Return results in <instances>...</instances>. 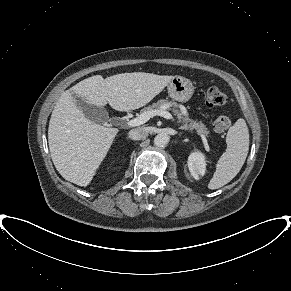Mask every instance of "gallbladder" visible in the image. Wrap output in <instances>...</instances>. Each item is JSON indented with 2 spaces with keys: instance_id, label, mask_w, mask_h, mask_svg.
<instances>
[{
  "instance_id": "bac80fb5",
  "label": "gallbladder",
  "mask_w": 291,
  "mask_h": 291,
  "mask_svg": "<svg viewBox=\"0 0 291 291\" xmlns=\"http://www.w3.org/2000/svg\"><path fill=\"white\" fill-rule=\"evenodd\" d=\"M78 107H80L86 118L98 124H104L109 121L108 112L103 107H97L89 104L84 98L74 96Z\"/></svg>"
}]
</instances>
